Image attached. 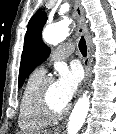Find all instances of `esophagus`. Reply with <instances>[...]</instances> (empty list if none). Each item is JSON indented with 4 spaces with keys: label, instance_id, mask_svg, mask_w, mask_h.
<instances>
[{
    "label": "esophagus",
    "instance_id": "obj_1",
    "mask_svg": "<svg viewBox=\"0 0 116 134\" xmlns=\"http://www.w3.org/2000/svg\"><path fill=\"white\" fill-rule=\"evenodd\" d=\"M74 11H75V16H76L77 22H78V32L81 35L85 36L86 44H87V56L83 60V66L85 69V77L83 80V86L80 90V93H82V91L87 83L89 72H90V59L92 56V46H91L90 39L88 37V31H87V25H86V21H85L84 10L82 8L80 0L74 1ZM63 128H64L63 125L60 126L59 128L56 129V132H61V130H63Z\"/></svg>",
    "mask_w": 116,
    "mask_h": 134
}]
</instances>
